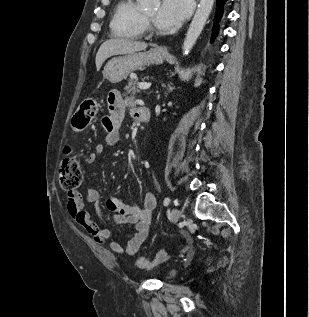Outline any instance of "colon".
Segmentation results:
<instances>
[{"instance_id":"obj_1","label":"colon","mask_w":309,"mask_h":317,"mask_svg":"<svg viewBox=\"0 0 309 317\" xmlns=\"http://www.w3.org/2000/svg\"><path fill=\"white\" fill-rule=\"evenodd\" d=\"M98 112V102L93 98L85 99L73 117V126L77 130L85 129ZM59 182L66 191H75L80 187L83 173L79 161L72 156L63 159L59 168ZM142 266H150V259H140Z\"/></svg>"}]
</instances>
